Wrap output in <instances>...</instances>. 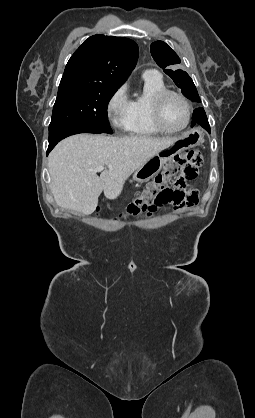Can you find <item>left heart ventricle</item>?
<instances>
[{
  "instance_id": "left-heart-ventricle-1",
  "label": "left heart ventricle",
  "mask_w": 255,
  "mask_h": 418,
  "mask_svg": "<svg viewBox=\"0 0 255 418\" xmlns=\"http://www.w3.org/2000/svg\"><path fill=\"white\" fill-rule=\"evenodd\" d=\"M163 121L169 128L176 129L184 125L187 118L185 104L176 96H169L163 104Z\"/></svg>"
}]
</instances>
